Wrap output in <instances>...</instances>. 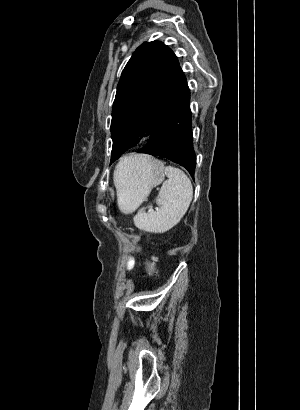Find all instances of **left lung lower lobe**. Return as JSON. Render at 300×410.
I'll list each match as a JSON object with an SVG mask.
<instances>
[{
    "instance_id": "left-lung-lower-lobe-1",
    "label": "left lung lower lobe",
    "mask_w": 300,
    "mask_h": 410,
    "mask_svg": "<svg viewBox=\"0 0 300 410\" xmlns=\"http://www.w3.org/2000/svg\"><path fill=\"white\" fill-rule=\"evenodd\" d=\"M190 90L164 116L152 132L147 146L138 150L153 156L167 158L185 167L194 177L196 155L193 149Z\"/></svg>"
}]
</instances>
